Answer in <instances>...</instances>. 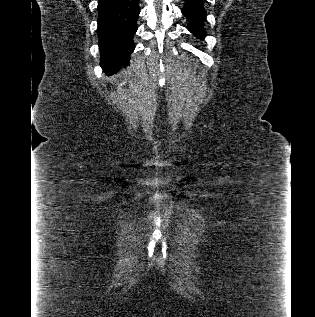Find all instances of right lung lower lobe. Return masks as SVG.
<instances>
[{
	"label": "right lung lower lobe",
	"mask_w": 315,
	"mask_h": 317,
	"mask_svg": "<svg viewBox=\"0 0 315 317\" xmlns=\"http://www.w3.org/2000/svg\"><path fill=\"white\" fill-rule=\"evenodd\" d=\"M139 12V0L98 1L100 65L108 74L129 61Z\"/></svg>",
	"instance_id": "98d812e1"
}]
</instances>
